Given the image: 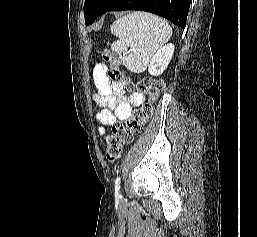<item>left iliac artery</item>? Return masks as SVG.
Returning <instances> with one entry per match:
<instances>
[{"label": "left iliac artery", "mask_w": 257, "mask_h": 237, "mask_svg": "<svg viewBox=\"0 0 257 237\" xmlns=\"http://www.w3.org/2000/svg\"><path fill=\"white\" fill-rule=\"evenodd\" d=\"M115 195L121 197L120 195V176L115 180Z\"/></svg>", "instance_id": "left-iliac-artery-1"}]
</instances>
